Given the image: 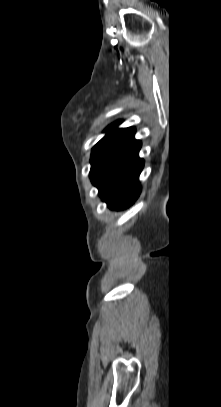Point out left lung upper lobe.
Here are the masks:
<instances>
[{
    "instance_id": "left-lung-upper-lobe-1",
    "label": "left lung upper lobe",
    "mask_w": 221,
    "mask_h": 407,
    "mask_svg": "<svg viewBox=\"0 0 221 407\" xmlns=\"http://www.w3.org/2000/svg\"><path fill=\"white\" fill-rule=\"evenodd\" d=\"M119 123L117 121L108 126L105 130L107 134L93 147L90 159L91 168L107 148L124 132L125 129L117 128Z\"/></svg>"
}]
</instances>
